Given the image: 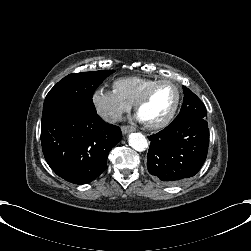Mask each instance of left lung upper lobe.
I'll list each match as a JSON object with an SVG mask.
<instances>
[{"label": "left lung upper lobe", "instance_id": "5c2ea615", "mask_svg": "<svg viewBox=\"0 0 251 251\" xmlns=\"http://www.w3.org/2000/svg\"><path fill=\"white\" fill-rule=\"evenodd\" d=\"M183 92L184 102L181 111L172 123L191 118L206 119L207 111L203 102L185 86H183Z\"/></svg>", "mask_w": 251, "mask_h": 251}]
</instances>
